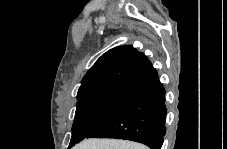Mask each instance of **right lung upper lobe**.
Masks as SVG:
<instances>
[{"label": "right lung upper lobe", "mask_w": 227, "mask_h": 149, "mask_svg": "<svg viewBox=\"0 0 227 149\" xmlns=\"http://www.w3.org/2000/svg\"><path fill=\"white\" fill-rule=\"evenodd\" d=\"M157 75L145 54L130 45L115 47L104 53L86 73L77 98L108 85L137 88Z\"/></svg>", "instance_id": "1"}]
</instances>
